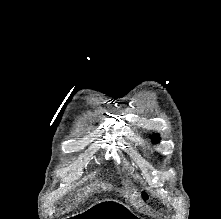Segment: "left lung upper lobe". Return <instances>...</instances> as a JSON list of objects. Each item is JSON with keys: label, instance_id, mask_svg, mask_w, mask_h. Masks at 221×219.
I'll return each mask as SVG.
<instances>
[{"label": "left lung upper lobe", "instance_id": "obj_1", "mask_svg": "<svg viewBox=\"0 0 221 219\" xmlns=\"http://www.w3.org/2000/svg\"><path fill=\"white\" fill-rule=\"evenodd\" d=\"M152 140H153V142L154 143H157V142H159V138H158V136L157 135H152Z\"/></svg>", "mask_w": 221, "mask_h": 219}]
</instances>
